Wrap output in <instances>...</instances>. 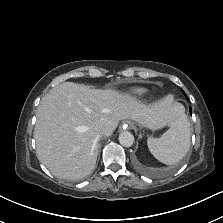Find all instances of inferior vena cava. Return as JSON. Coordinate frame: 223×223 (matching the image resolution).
<instances>
[{
    "label": "inferior vena cava",
    "mask_w": 223,
    "mask_h": 223,
    "mask_svg": "<svg viewBox=\"0 0 223 223\" xmlns=\"http://www.w3.org/2000/svg\"><path fill=\"white\" fill-rule=\"evenodd\" d=\"M95 131L97 132L98 135L102 136L105 132V128L103 125L99 124L95 126Z\"/></svg>",
    "instance_id": "inferior-vena-cava-1"
}]
</instances>
